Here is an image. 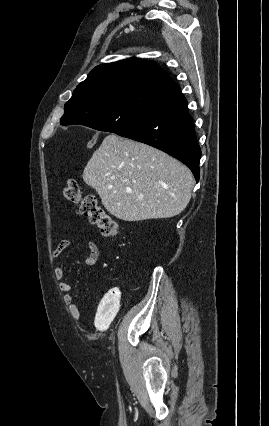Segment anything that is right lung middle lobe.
Returning a JSON list of instances; mask_svg holds the SVG:
<instances>
[{
  "label": "right lung middle lobe",
  "instance_id": "obj_1",
  "mask_svg": "<svg viewBox=\"0 0 269 426\" xmlns=\"http://www.w3.org/2000/svg\"><path fill=\"white\" fill-rule=\"evenodd\" d=\"M160 95L145 90L103 91L89 96L73 93L60 122L115 133L141 119Z\"/></svg>",
  "mask_w": 269,
  "mask_h": 426
}]
</instances>
